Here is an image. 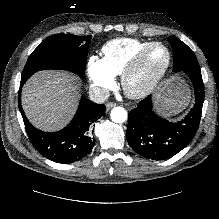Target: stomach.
Returning <instances> with one entry per match:
<instances>
[{"label":"stomach","mask_w":219,"mask_h":219,"mask_svg":"<svg viewBox=\"0 0 219 219\" xmlns=\"http://www.w3.org/2000/svg\"><path fill=\"white\" fill-rule=\"evenodd\" d=\"M172 88L173 87L168 88V90L163 94V98L166 103H169V101H172L174 99L175 93L171 92Z\"/></svg>","instance_id":"0dacf381"}]
</instances>
